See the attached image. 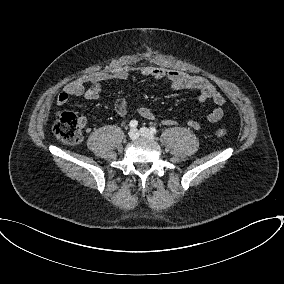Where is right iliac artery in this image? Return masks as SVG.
<instances>
[{
  "mask_svg": "<svg viewBox=\"0 0 284 284\" xmlns=\"http://www.w3.org/2000/svg\"><path fill=\"white\" fill-rule=\"evenodd\" d=\"M137 125H138V121H136V120H132V121L129 123V126H130L131 128H136Z\"/></svg>",
  "mask_w": 284,
  "mask_h": 284,
  "instance_id": "right-iliac-artery-1",
  "label": "right iliac artery"
}]
</instances>
